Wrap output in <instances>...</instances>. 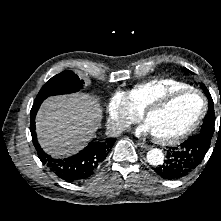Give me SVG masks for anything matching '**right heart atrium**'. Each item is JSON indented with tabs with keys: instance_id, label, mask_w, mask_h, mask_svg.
Masks as SVG:
<instances>
[{
	"instance_id": "1",
	"label": "right heart atrium",
	"mask_w": 221,
	"mask_h": 221,
	"mask_svg": "<svg viewBox=\"0 0 221 221\" xmlns=\"http://www.w3.org/2000/svg\"><path fill=\"white\" fill-rule=\"evenodd\" d=\"M107 126L113 133H120L132 123L137 122L140 114L135 112L123 91H115L107 105Z\"/></svg>"
}]
</instances>
